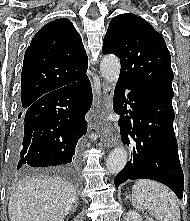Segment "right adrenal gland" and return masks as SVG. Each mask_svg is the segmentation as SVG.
I'll return each mask as SVG.
<instances>
[{
  "mask_svg": "<svg viewBox=\"0 0 190 221\" xmlns=\"http://www.w3.org/2000/svg\"><path fill=\"white\" fill-rule=\"evenodd\" d=\"M77 205H78V198H76V200H75V202H74V206H73L72 209H71L72 213H75L76 208H77Z\"/></svg>",
  "mask_w": 190,
  "mask_h": 221,
  "instance_id": "2a0ac1e0",
  "label": "right adrenal gland"
}]
</instances>
